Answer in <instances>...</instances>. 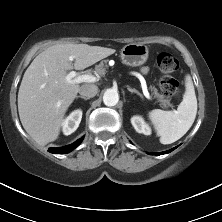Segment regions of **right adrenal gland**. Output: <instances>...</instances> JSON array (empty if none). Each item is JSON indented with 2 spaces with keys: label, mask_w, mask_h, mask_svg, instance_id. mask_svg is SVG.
Here are the masks:
<instances>
[{
  "label": "right adrenal gland",
  "mask_w": 222,
  "mask_h": 222,
  "mask_svg": "<svg viewBox=\"0 0 222 222\" xmlns=\"http://www.w3.org/2000/svg\"><path fill=\"white\" fill-rule=\"evenodd\" d=\"M79 98L84 99V100H88L89 99V98H86V97H83V96H76V99H79Z\"/></svg>",
  "instance_id": "2a0ac1e0"
}]
</instances>
